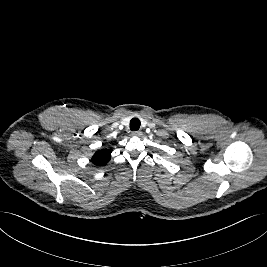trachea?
I'll list each match as a JSON object with an SVG mask.
<instances>
[{
    "mask_svg": "<svg viewBox=\"0 0 267 267\" xmlns=\"http://www.w3.org/2000/svg\"><path fill=\"white\" fill-rule=\"evenodd\" d=\"M140 125H141V123H140V120L138 118L131 119V121H130V129L132 131L138 130L140 128Z\"/></svg>",
    "mask_w": 267,
    "mask_h": 267,
    "instance_id": "trachea-1",
    "label": "trachea"
}]
</instances>
